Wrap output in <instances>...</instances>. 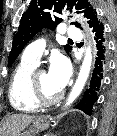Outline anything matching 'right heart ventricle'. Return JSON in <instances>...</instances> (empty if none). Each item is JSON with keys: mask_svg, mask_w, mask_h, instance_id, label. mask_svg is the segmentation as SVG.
<instances>
[{"mask_svg": "<svg viewBox=\"0 0 117 136\" xmlns=\"http://www.w3.org/2000/svg\"><path fill=\"white\" fill-rule=\"evenodd\" d=\"M36 66L34 63L22 60L12 75L9 85V101L11 106L19 112L32 113L39 108L30 90L31 74Z\"/></svg>", "mask_w": 117, "mask_h": 136, "instance_id": "e07e8e85", "label": "right heart ventricle"}]
</instances>
